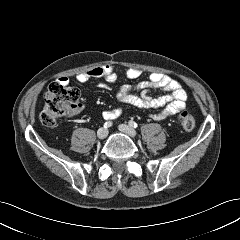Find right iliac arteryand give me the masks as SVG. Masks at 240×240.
Returning a JSON list of instances; mask_svg holds the SVG:
<instances>
[{"mask_svg": "<svg viewBox=\"0 0 240 240\" xmlns=\"http://www.w3.org/2000/svg\"><path fill=\"white\" fill-rule=\"evenodd\" d=\"M112 126V122L111 121H107L104 123V128H109Z\"/></svg>", "mask_w": 240, "mask_h": 240, "instance_id": "82829eb1", "label": "right iliac artery"}]
</instances>
